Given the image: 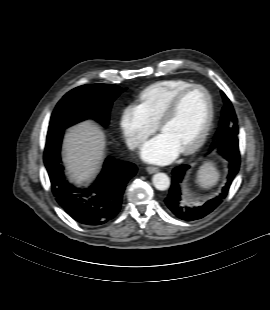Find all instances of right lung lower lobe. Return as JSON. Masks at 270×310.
<instances>
[{
  "label": "right lung lower lobe",
  "mask_w": 270,
  "mask_h": 310,
  "mask_svg": "<svg viewBox=\"0 0 270 310\" xmlns=\"http://www.w3.org/2000/svg\"><path fill=\"white\" fill-rule=\"evenodd\" d=\"M62 129H49L44 152L51 190L60 206L77 222L101 225L120 210L127 182L136 174L133 163L107 158L101 174L88 189L70 184L60 164Z\"/></svg>",
  "instance_id": "right-lung-lower-lobe-1"
}]
</instances>
